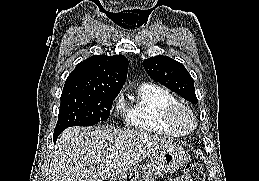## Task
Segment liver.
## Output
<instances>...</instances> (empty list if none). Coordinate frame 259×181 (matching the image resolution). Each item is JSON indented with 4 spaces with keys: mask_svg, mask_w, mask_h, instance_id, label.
Returning <instances> with one entry per match:
<instances>
[{
    "mask_svg": "<svg viewBox=\"0 0 259 181\" xmlns=\"http://www.w3.org/2000/svg\"><path fill=\"white\" fill-rule=\"evenodd\" d=\"M171 145L169 139L141 131L72 127L57 139L49 181H104Z\"/></svg>",
    "mask_w": 259,
    "mask_h": 181,
    "instance_id": "liver-1",
    "label": "liver"
}]
</instances>
